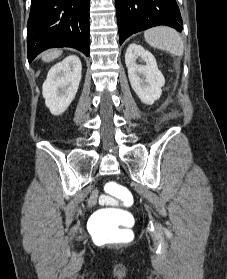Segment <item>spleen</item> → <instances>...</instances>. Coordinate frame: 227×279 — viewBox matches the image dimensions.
Here are the masks:
<instances>
[{
	"label": "spleen",
	"instance_id": "3e777b00",
	"mask_svg": "<svg viewBox=\"0 0 227 279\" xmlns=\"http://www.w3.org/2000/svg\"><path fill=\"white\" fill-rule=\"evenodd\" d=\"M146 42L176 56L183 55V41L179 33L170 27H155L144 32Z\"/></svg>",
	"mask_w": 227,
	"mask_h": 279
}]
</instances>
